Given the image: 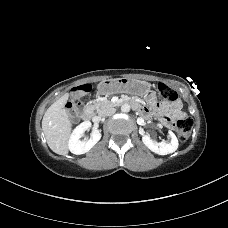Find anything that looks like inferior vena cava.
I'll return each mask as SVG.
<instances>
[{
  "instance_id": "1",
  "label": "inferior vena cava",
  "mask_w": 228,
  "mask_h": 228,
  "mask_svg": "<svg viewBox=\"0 0 228 228\" xmlns=\"http://www.w3.org/2000/svg\"><path fill=\"white\" fill-rule=\"evenodd\" d=\"M115 111H116L115 108L109 107V108L104 109L99 115L100 116H111L112 114L115 113Z\"/></svg>"
}]
</instances>
